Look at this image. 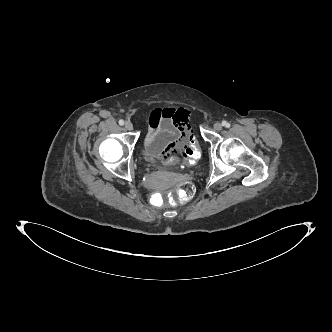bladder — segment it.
<instances>
[{
    "label": "bladder",
    "instance_id": "31cf9c89",
    "mask_svg": "<svg viewBox=\"0 0 332 332\" xmlns=\"http://www.w3.org/2000/svg\"><path fill=\"white\" fill-rule=\"evenodd\" d=\"M144 160L148 165L161 166V165H173L177 162V158L174 156L167 155L163 153L155 156H150L147 151L144 152Z\"/></svg>",
    "mask_w": 332,
    "mask_h": 332
}]
</instances>
